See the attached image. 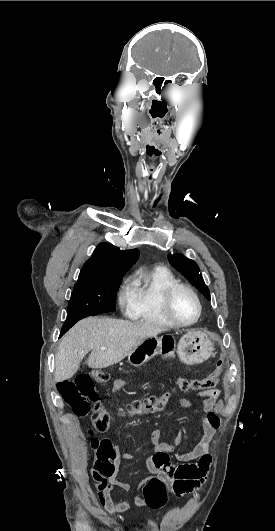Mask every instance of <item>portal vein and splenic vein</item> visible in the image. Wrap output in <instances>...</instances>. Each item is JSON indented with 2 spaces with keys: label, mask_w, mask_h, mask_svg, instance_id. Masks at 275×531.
Returning a JSON list of instances; mask_svg holds the SVG:
<instances>
[{
  "label": "portal vein and splenic vein",
  "mask_w": 275,
  "mask_h": 531,
  "mask_svg": "<svg viewBox=\"0 0 275 531\" xmlns=\"http://www.w3.org/2000/svg\"><path fill=\"white\" fill-rule=\"evenodd\" d=\"M101 351H106L105 347H101Z\"/></svg>",
  "instance_id": "portal-vein-and-splenic-vein-1"
}]
</instances>
